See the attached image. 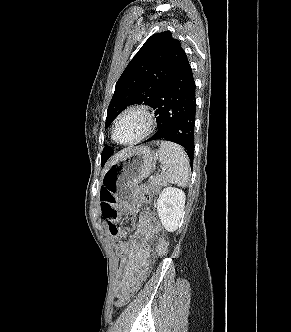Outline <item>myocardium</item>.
Instances as JSON below:
<instances>
[{
    "mask_svg": "<svg viewBox=\"0 0 291 332\" xmlns=\"http://www.w3.org/2000/svg\"><path fill=\"white\" fill-rule=\"evenodd\" d=\"M130 112H139L141 113L146 120V128L144 130V132L137 138L131 140V141H120L117 138L116 135V129H117V125L119 123V121L122 119L123 116H125L127 113ZM156 127V118L154 115V112L151 110V108L145 104H134V105H130L128 107H126L115 119L113 127H112V137L113 139L121 145H134L137 143H140L141 141H143L144 139H146L148 136H150L152 134V132L154 131Z\"/></svg>",
    "mask_w": 291,
    "mask_h": 332,
    "instance_id": "obj_1",
    "label": "myocardium"
}]
</instances>
